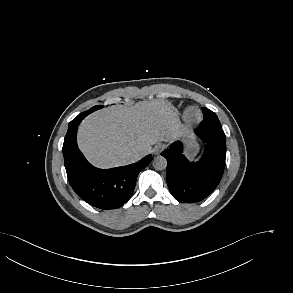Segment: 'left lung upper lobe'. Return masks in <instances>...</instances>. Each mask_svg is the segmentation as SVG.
I'll return each mask as SVG.
<instances>
[{"mask_svg":"<svg viewBox=\"0 0 293 293\" xmlns=\"http://www.w3.org/2000/svg\"><path fill=\"white\" fill-rule=\"evenodd\" d=\"M202 110H203L204 119L201 123L204 125H208L214 132H218L222 130V127L217 115L213 111L207 108L203 107Z\"/></svg>","mask_w":293,"mask_h":293,"instance_id":"1","label":"left lung upper lobe"}]
</instances>
